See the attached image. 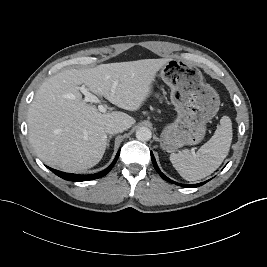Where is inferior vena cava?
<instances>
[{"label": "inferior vena cava", "mask_w": 267, "mask_h": 267, "mask_svg": "<svg viewBox=\"0 0 267 267\" xmlns=\"http://www.w3.org/2000/svg\"><path fill=\"white\" fill-rule=\"evenodd\" d=\"M126 130V126L120 122H109L105 126V132L108 134H117Z\"/></svg>", "instance_id": "inferior-vena-cava-1"}]
</instances>
